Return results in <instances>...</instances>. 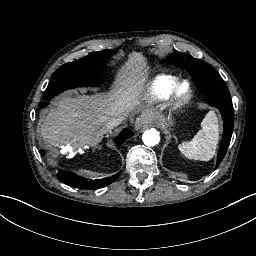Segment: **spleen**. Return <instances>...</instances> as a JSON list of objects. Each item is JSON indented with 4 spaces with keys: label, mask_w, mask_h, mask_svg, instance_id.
I'll use <instances>...</instances> for the list:
<instances>
[{
    "label": "spleen",
    "mask_w": 256,
    "mask_h": 256,
    "mask_svg": "<svg viewBox=\"0 0 256 256\" xmlns=\"http://www.w3.org/2000/svg\"><path fill=\"white\" fill-rule=\"evenodd\" d=\"M219 142V120L215 111H209L201 122V130L189 142L178 145L188 159L209 161L216 153Z\"/></svg>",
    "instance_id": "3e777b00"
}]
</instances>
